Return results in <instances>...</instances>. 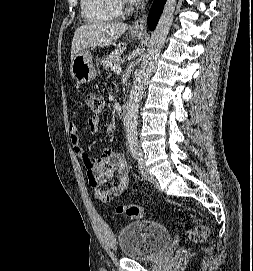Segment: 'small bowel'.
Segmentation results:
<instances>
[{"instance_id":"obj_1","label":"small bowel","mask_w":253,"mask_h":271,"mask_svg":"<svg viewBox=\"0 0 253 271\" xmlns=\"http://www.w3.org/2000/svg\"><path fill=\"white\" fill-rule=\"evenodd\" d=\"M100 130V118L96 115L87 120V134ZM69 138L77 158L84 164L86 175L95 197L101 202H109L124 193L130 185V175L124 155L105 149L101 157L91 159L80 145L79 129L74 123L68 126ZM116 183L109 188L105 184L112 179Z\"/></svg>"}]
</instances>
